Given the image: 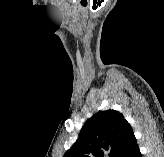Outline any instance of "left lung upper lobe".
I'll use <instances>...</instances> for the list:
<instances>
[{
	"label": "left lung upper lobe",
	"instance_id": "left-lung-upper-lobe-1",
	"mask_svg": "<svg viewBox=\"0 0 164 157\" xmlns=\"http://www.w3.org/2000/svg\"><path fill=\"white\" fill-rule=\"evenodd\" d=\"M134 135L130 124L116 110L99 111L89 118L78 140L64 157H117Z\"/></svg>",
	"mask_w": 164,
	"mask_h": 157
}]
</instances>
